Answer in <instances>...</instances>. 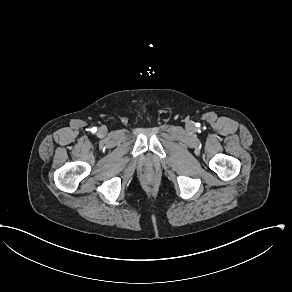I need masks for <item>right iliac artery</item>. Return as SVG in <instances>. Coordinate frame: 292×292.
Wrapping results in <instances>:
<instances>
[{
    "instance_id": "obj_1",
    "label": "right iliac artery",
    "mask_w": 292,
    "mask_h": 292,
    "mask_svg": "<svg viewBox=\"0 0 292 292\" xmlns=\"http://www.w3.org/2000/svg\"><path fill=\"white\" fill-rule=\"evenodd\" d=\"M91 131H92L93 133H95V132L97 131V128H96V127H93V128L91 129Z\"/></svg>"
}]
</instances>
